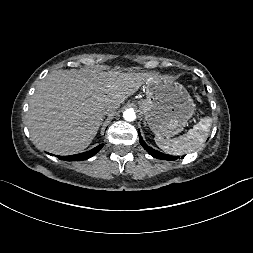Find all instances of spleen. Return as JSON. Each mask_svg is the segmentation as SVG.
<instances>
[{
    "label": "spleen",
    "instance_id": "3e777b00",
    "mask_svg": "<svg viewBox=\"0 0 253 253\" xmlns=\"http://www.w3.org/2000/svg\"><path fill=\"white\" fill-rule=\"evenodd\" d=\"M211 125L212 118L205 117L186 134L174 139H170L169 137L165 138L157 134L155 135V142L167 154L183 155L193 152L206 141Z\"/></svg>",
    "mask_w": 253,
    "mask_h": 253
}]
</instances>
